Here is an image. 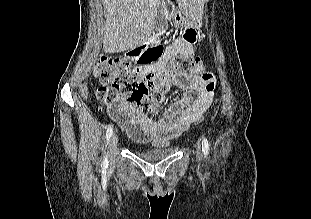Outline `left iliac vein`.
Instances as JSON below:
<instances>
[{"mask_svg":"<svg viewBox=\"0 0 311 219\" xmlns=\"http://www.w3.org/2000/svg\"><path fill=\"white\" fill-rule=\"evenodd\" d=\"M195 147H196L197 157H198V159H201L202 153H201L200 144H199V143H196Z\"/></svg>","mask_w":311,"mask_h":219,"instance_id":"left-iliac-vein-1","label":"left iliac vein"}]
</instances>
